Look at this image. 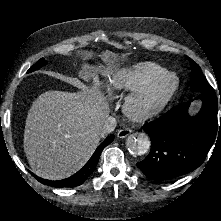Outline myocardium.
<instances>
[{
  "instance_id": "f54148a6",
  "label": "myocardium",
  "mask_w": 221,
  "mask_h": 221,
  "mask_svg": "<svg viewBox=\"0 0 221 221\" xmlns=\"http://www.w3.org/2000/svg\"><path fill=\"white\" fill-rule=\"evenodd\" d=\"M178 88V77L174 73H166L133 93L126 101V111L136 120L153 117L172 101Z\"/></svg>"
}]
</instances>
